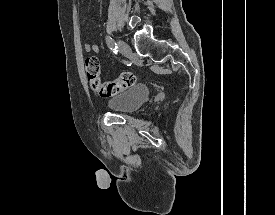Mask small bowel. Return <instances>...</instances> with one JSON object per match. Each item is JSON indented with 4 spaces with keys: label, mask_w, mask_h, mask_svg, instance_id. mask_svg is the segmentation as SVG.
Here are the masks:
<instances>
[{
    "label": "small bowel",
    "mask_w": 275,
    "mask_h": 215,
    "mask_svg": "<svg viewBox=\"0 0 275 215\" xmlns=\"http://www.w3.org/2000/svg\"><path fill=\"white\" fill-rule=\"evenodd\" d=\"M84 50L86 52H98L99 48L96 44L87 42L84 44Z\"/></svg>",
    "instance_id": "obj_1"
}]
</instances>
